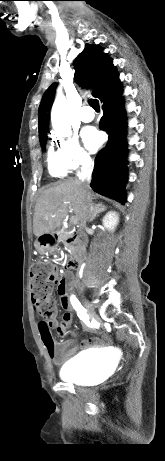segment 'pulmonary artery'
<instances>
[{
	"instance_id": "obj_1",
	"label": "pulmonary artery",
	"mask_w": 165,
	"mask_h": 461,
	"mask_svg": "<svg viewBox=\"0 0 165 461\" xmlns=\"http://www.w3.org/2000/svg\"><path fill=\"white\" fill-rule=\"evenodd\" d=\"M79 117L83 122H90L94 119V112L89 106H83L80 110Z\"/></svg>"
}]
</instances>
